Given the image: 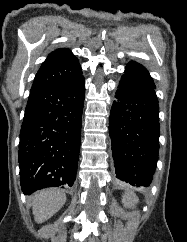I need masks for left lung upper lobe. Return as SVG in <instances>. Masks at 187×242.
Instances as JSON below:
<instances>
[{"label":"left lung upper lobe","mask_w":187,"mask_h":242,"mask_svg":"<svg viewBox=\"0 0 187 242\" xmlns=\"http://www.w3.org/2000/svg\"><path fill=\"white\" fill-rule=\"evenodd\" d=\"M125 75L136 78L152 87H155L154 81L147 69L134 61H130L125 67Z\"/></svg>","instance_id":"1"}]
</instances>
